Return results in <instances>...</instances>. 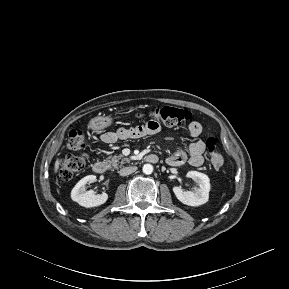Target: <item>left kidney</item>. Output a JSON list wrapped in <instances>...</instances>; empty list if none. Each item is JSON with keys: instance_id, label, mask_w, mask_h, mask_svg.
<instances>
[{"instance_id": "obj_1", "label": "left kidney", "mask_w": 289, "mask_h": 289, "mask_svg": "<svg viewBox=\"0 0 289 289\" xmlns=\"http://www.w3.org/2000/svg\"><path fill=\"white\" fill-rule=\"evenodd\" d=\"M187 177L192 178L198 185V188H194L193 191H183L181 187L174 186L173 192L177 199L188 206H199L205 204L209 199V177L197 171H189Z\"/></svg>"}]
</instances>
